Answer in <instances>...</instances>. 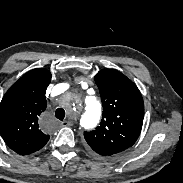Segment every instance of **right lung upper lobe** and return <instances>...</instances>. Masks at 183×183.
Listing matches in <instances>:
<instances>
[{
  "mask_svg": "<svg viewBox=\"0 0 183 183\" xmlns=\"http://www.w3.org/2000/svg\"><path fill=\"white\" fill-rule=\"evenodd\" d=\"M50 81L48 70H31L11 86L0 103V133L18 154H31L49 140V135L39 129L38 117L46 109L45 92Z\"/></svg>",
  "mask_w": 183,
  "mask_h": 183,
  "instance_id": "obj_1",
  "label": "right lung upper lobe"
}]
</instances>
